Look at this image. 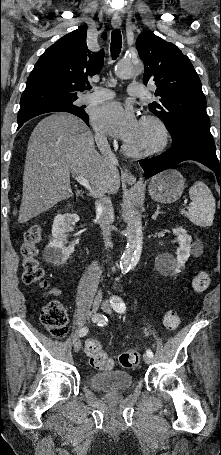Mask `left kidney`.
I'll list each match as a JSON object with an SVG mask.
<instances>
[{"label":"left kidney","mask_w":221,"mask_h":455,"mask_svg":"<svg viewBox=\"0 0 221 455\" xmlns=\"http://www.w3.org/2000/svg\"><path fill=\"white\" fill-rule=\"evenodd\" d=\"M172 231L177 236L179 242V248L176 252L177 257L174 258L168 253L159 254L155 259V265L162 272L177 274L185 266L186 261L190 257L192 237L182 227L175 228Z\"/></svg>","instance_id":"left-kidney-1"}]
</instances>
